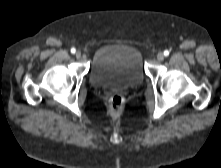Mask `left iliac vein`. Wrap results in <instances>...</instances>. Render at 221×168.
<instances>
[{
  "instance_id": "4c4485c4",
  "label": "left iliac vein",
  "mask_w": 221,
  "mask_h": 168,
  "mask_svg": "<svg viewBox=\"0 0 221 168\" xmlns=\"http://www.w3.org/2000/svg\"><path fill=\"white\" fill-rule=\"evenodd\" d=\"M157 60H158V61H163V60H164V54H163L162 52H159V53L157 54Z\"/></svg>"
}]
</instances>
